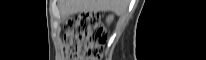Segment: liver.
I'll return each mask as SVG.
<instances>
[{
    "label": "liver",
    "instance_id": "obj_1",
    "mask_svg": "<svg viewBox=\"0 0 206 60\" xmlns=\"http://www.w3.org/2000/svg\"><path fill=\"white\" fill-rule=\"evenodd\" d=\"M63 15L69 16L79 12L112 11L121 15L126 0H59Z\"/></svg>",
    "mask_w": 206,
    "mask_h": 60
}]
</instances>
